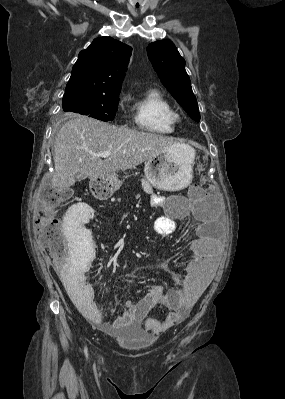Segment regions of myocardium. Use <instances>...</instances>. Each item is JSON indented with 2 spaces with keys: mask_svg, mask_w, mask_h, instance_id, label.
Returning a JSON list of instances; mask_svg holds the SVG:
<instances>
[{
  "mask_svg": "<svg viewBox=\"0 0 285 399\" xmlns=\"http://www.w3.org/2000/svg\"><path fill=\"white\" fill-rule=\"evenodd\" d=\"M172 120H173L174 123H175V122H178V121L180 120V115H179L178 113H176V112L173 111V113H172Z\"/></svg>",
  "mask_w": 285,
  "mask_h": 399,
  "instance_id": "obj_1",
  "label": "myocardium"
}]
</instances>
